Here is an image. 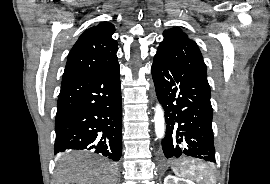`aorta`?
Listing matches in <instances>:
<instances>
[{"instance_id":"1","label":"aorta","mask_w":270,"mask_h":184,"mask_svg":"<svg viewBox=\"0 0 270 184\" xmlns=\"http://www.w3.org/2000/svg\"><path fill=\"white\" fill-rule=\"evenodd\" d=\"M154 122L156 136L161 139L165 134V121L163 110L159 104L155 108Z\"/></svg>"}]
</instances>
